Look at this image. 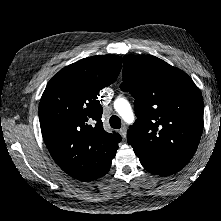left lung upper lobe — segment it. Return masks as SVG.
I'll use <instances>...</instances> for the list:
<instances>
[{
  "label": "left lung upper lobe",
  "instance_id": "left-lung-upper-lobe-1",
  "mask_svg": "<svg viewBox=\"0 0 221 221\" xmlns=\"http://www.w3.org/2000/svg\"><path fill=\"white\" fill-rule=\"evenodd\" d=\"M120 88L135 99L137 120L127 131L135 153L185 166L203 131V99L192 79L152 55H125Z\"/></svg>",
  "mask_w": 221,
  "mask_h": 221
}]
</instances>
